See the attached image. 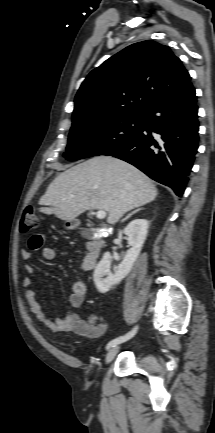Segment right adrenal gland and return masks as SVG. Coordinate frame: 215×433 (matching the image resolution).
Returning a JSON list of instances; mask_svg holds the SVG:
<instances>
[{
  "label": "right adrenal gland",
  "mask_w": 215,
  "mask_h": 433,
  "mask_svg": "<svg viewBox=\"0 0 215 433\" xmlns=\"http://www.w3.org/2000/svg\"><path fill=\"white\" fill-rule=\"evenodd\" d=\"M143 208H139V209H137V210H135V211H133V212H131L130 214H128L124 219H122V221L121 222H124L125 220H127L128 218H130L133 214H135V213H137V212H139L140 210H142Z\"/></svg>",
  "instance_id": "obj_1"
}]
</instances>
